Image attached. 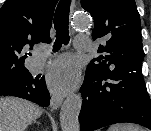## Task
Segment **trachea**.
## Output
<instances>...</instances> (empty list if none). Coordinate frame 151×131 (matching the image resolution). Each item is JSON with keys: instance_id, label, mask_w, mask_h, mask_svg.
<instances>
[{"instance_id": "3493384b", "label": "trachea", "mask_w": 151, "mask_h": 131, "mask_svg": "<svg viewBox=\"0 0 151 131\" xmlns=\"http://www.w3.org/2000/svg\"><path fill=\"white\" fill-rule=\"evenodd\" d=\"M71 0H60L54 15V26L56 30V40L53 51L57 52L62 44L67 45L70 40L69 36V12Z\"/></svg>"}]
</instances>
